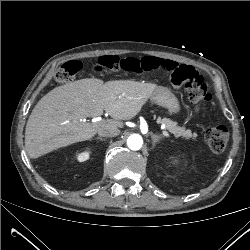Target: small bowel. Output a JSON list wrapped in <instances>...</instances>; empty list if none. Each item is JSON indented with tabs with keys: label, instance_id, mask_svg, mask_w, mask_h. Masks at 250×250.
Masks as SVG:
<instances>
[{
	"label": "small bowel",
	"instance_id": "obj_1",
	"mask_svg": "<svg viewBox=\"0 0 250 250\" xmlns=\"http://www.w3.org/2000/svg\"><path fill=\"white\" fill-rule=\"evenodd\" d=\"M146 59L154 60L158 63V65L163 64V68L161 70H165V71L171 72V71L175 70L178 66L175 62L170 61V60L160 59V58H156V57H146V58H143L142 60H146Z\"/></svg>",
	"mask_w": 250,
	"mask_h": 250
}]
</instances>
